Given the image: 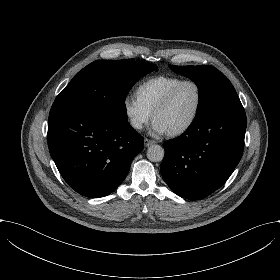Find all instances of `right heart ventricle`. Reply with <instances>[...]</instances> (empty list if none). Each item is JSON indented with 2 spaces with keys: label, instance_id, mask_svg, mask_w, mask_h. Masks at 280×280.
Masks as SVG:
<instances>
[{
  "label": "right heart ventricle",
  "instance_id": "obj_1",
  "mask_svg": "<svg viewBox=\"0 0 280 280\" xmlns=\"http://www.w3.org/2000/svg\"><path fill=\"white\" fill-rule=\"evenodd\" d=\"M182 80L184 78L177 75L150 77L136 87V97L150 112L154 113L167 93Z\"/></svg>",
  "mask_w": 280,
  "mask_h": 280
}]
</instances>
